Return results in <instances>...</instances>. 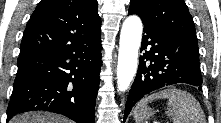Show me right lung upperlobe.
I'll return each mask as SVG.
<instances>
[{"label":"right lung upper lobe","mask_w":221,"mask_h":123,"mask_svg":"<svg viewBox=\"0 0 221 123\" xmlns=\"http://www.w3.org/2000/svg\"><path fill=\"white\" fill-rule=\"evenodd\" d=\"M100 27L97 0H41L26 25L20 55L93 39Z\"/></svg>","instance_id":"right-lung-upper-lobe-1"}]
</instances>
